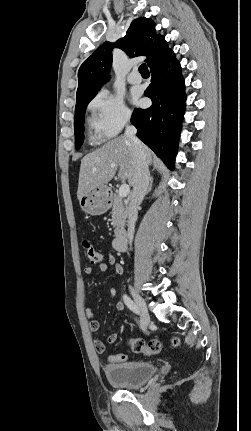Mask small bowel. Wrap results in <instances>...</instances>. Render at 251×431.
Masks as SVG:
<instances>
[{"label": "small bowel", "mask_w": 251, "mask_h": 431, "mask_svg": "<svg viewBox=\"0 0 251 431\" xmlns=\"http://www.w3.org/2000/svg\"><path fill=\"white\" fill-rule=\"evenodd\" d=\"M107 260L110 265H112L117 274L123 273V267L120 263L117 262L116 258L112 254L107 255ZM99 269L102 272H107L109 270V266L106 263H100ZM85 275H91L93 272V268L91 266H86L83 269ZM116 309L118 312H124V305L121 302L116 304ZM86 318L89 321V328L92 332H97L100 328V323L96 319L95 313L91 309H86L85 311ZM120 335L118 333H112L107 336L106 343L113 344L119 339ZM94 347L98 353H104L106 350V344L99 338H95Z\"/></svg>", "instance_id": "c3829d8e"}]
</instances>
